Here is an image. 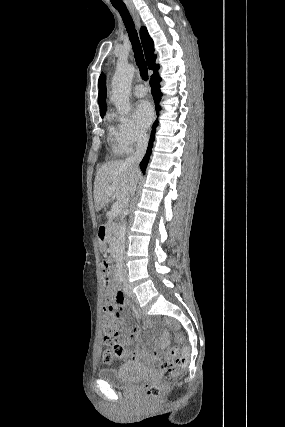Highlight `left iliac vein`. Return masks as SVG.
I'll return each instance as SVG.
<instances>
[{"mask_svg":"<svg viewBox=\"0 0 285 427\" xmlns=\"http://www.w3.org/2000/svg\"><path fill=\"white\" fill-rule=\"evenodd\" d=\"M124 282H125V288H124L125 292L128 295H133L132 288H131L130 284L127 281V276L126 275L124 277Z\"/></svg>","mask_w":285,"mask_h":427,"instance_id":"4c4485c4","label":"left iliac vein"}]
</instances>
